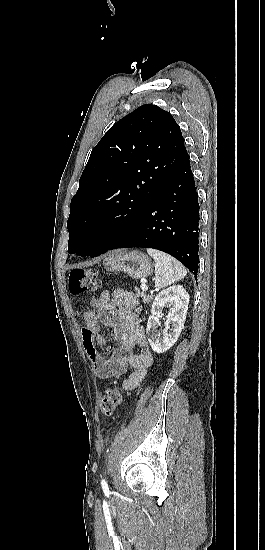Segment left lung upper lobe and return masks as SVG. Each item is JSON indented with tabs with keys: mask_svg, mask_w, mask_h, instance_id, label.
Returning a JSON list of instances; mask_svg holds the SVG:
<instances>
[{
	"mask_svg": "<svg viewBox=\"0 0 265 550\" xmlns=\"http://www.w3.org/2000/svg\"><path fill=\"white\" fill-rule=\"evenodd\" d=\"M186 153L176 121L156 105L115 123L92 150L71 201L68 252L94 257L117 241Z\"/></svg>",
	"mask_w": 265,
	"mask_h": 550,
	"instance_id": "1",
	"label": "left lung upper lobe"
}]
</instances>
